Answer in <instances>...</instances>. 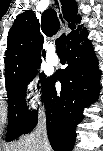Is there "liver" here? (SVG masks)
<instances>
[{"label":"liver","mask_w":103,"mask_h":151,"mask_svg":"<svg viewBox=\"0 0 103 151\" xmlns=\"http://www.w3.org/2000/svg\"><path fill=\"white\" fill-rule=\"evenodd\" d=\"M49 143L44 145L43 137L37 132L24 136L15 144L10 145L5 151H50Z\"/></svg>","instance_id":"1"}]
</instances>
